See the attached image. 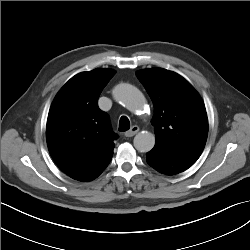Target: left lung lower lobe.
<instances>
[{"label": "left lung lower lobe", "mask_w": 250, "mask_h": 250, "mask_svg": "<svg viewBox=\"0 0 250 250\" xmlns=\"http://www.w3.org/2000/svg\"><path fill=\"white\" fill-rule=\"evenodd\" d=\"M147 163L160 173L174 175L185 171L192 166L198 155L175 154L152 149L146 154Z\"/></svg>", "instance_id": "obj_1"}]
</instances>
